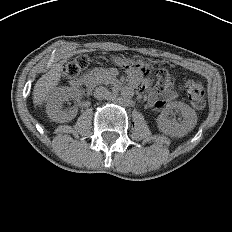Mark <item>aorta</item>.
Listing matches in <instances>:
<instances>
[{"instance_id": "762f6f07", "label": "aorta", "mask_w": 232, "mask_h": 232, "mask_svg": "<svg viewBox=\"0 0 232 232\" xmlns=\"http://www.w3.org/2000/svg\"><path fill=\"white\" fill-rule=\"evenodd\" d=\"M134 88L131 86H123L120 90V95L123 99L129 100L134 96Z\"/></svg>"}]
</instances>
